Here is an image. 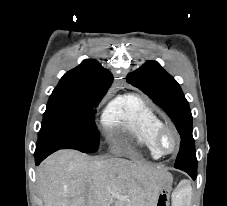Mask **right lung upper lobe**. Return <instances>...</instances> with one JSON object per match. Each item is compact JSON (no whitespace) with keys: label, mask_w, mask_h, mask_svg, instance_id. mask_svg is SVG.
I'll return each instance as SVG.
<instances>
[{"label":"right lung upper lobe","mask_w":227,"mask_h":206,"mask_svg":"<svg viewBox=\"0 0 227 206\" xmlns=\"http://www.w3.org/2000/svg\"><path fill=\"white\" fill-rule=\"evenodd\" d=\"M113 81L112 74L96 60H84L79 66L65 73L53 92L104 96Z\"/></svg>","instance_id":"right-lung-upper-lobe-1"}]
</instances>
